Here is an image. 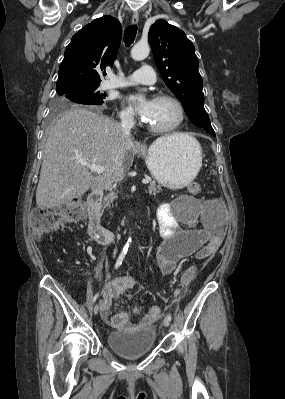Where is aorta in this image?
<instances>
[{"mask_svg":"<svg viewBox=\"0 0 285 399\" xmlns=\"http://www.w3.org/2000/svg\"><path fill=\"white\" fill-rule=\"evenodd\" d=\"M150 53V48L147 43L138 42L131 49V57L136 61H141L145 59ZM132 242L131 237L128 238L126 247H129Z\"/></svg>","mask_w":285,"mask_h":399,"instance_id":"aorta-1","label":"aorta"}]
</instances>
